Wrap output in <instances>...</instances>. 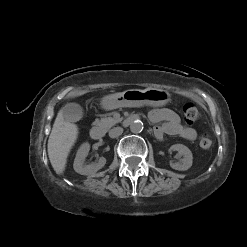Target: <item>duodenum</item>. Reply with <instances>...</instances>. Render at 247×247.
Listing matches in <instances>:
<instances>
[{
	"instance_id": "obj_1",
	"label": "duodenum",
	"mask_w": 247,
	"mask_h": 247,
	"mask_svg": "<svg viewBox=\"0 0 247 247\" xmlns=\"http://www.w3.org/2000/svg\"><path fill=\"white\" fill-rule=\"evenodd\" d=\"M133 122V118L129 117L124 121L125 126H129ZM90 136L94 140H100L104 136V129L99 125H95L90 129Z\"/></svg>"
}]
</instances>
